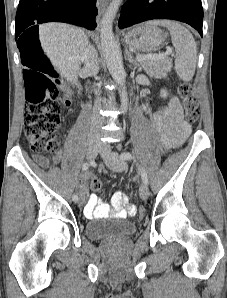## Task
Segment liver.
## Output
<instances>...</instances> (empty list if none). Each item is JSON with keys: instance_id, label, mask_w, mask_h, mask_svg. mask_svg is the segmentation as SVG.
Returning <instances> with one entry per match:
<instances>
[{"instance_id": "liver-1", "label": "liver", "mask_w": 227, "mask_h": 298, "mask_svg": "<svg viewBox=\"0 0 227 298\" xmlns=\"http://www.w3.org/2000/svg\"><path fill=\"white\" fill-rule=\"evenodd\" d=\"M39 39L55 69L70 83H76L83 54L88 45L86 33L63 23H47L39 27Z\"/></svg>"}]
</instances>
